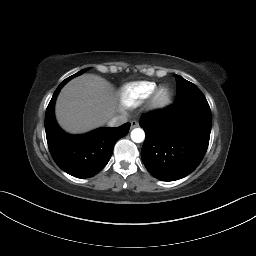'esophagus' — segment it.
Returning a JSON list of instances; mask_svg holds the SVG:
<instances>
[{
	"instance_id": "34e87169",
	"label": "esophagus",
	"mask_w": 256,
	"mask_h": 256,
	"mask_svg": "<svg viewBox=\"0 0 256 256\" xmlns=\"http://www.w3.org/2000/svg\"><path fill=\"white\" fill-rule=\"evenodd\" d=\"M130 124H131V128H136V127L139 126V123H138L136 120H132V121L130 122Z\"/></svg>"
}]
</instances>
